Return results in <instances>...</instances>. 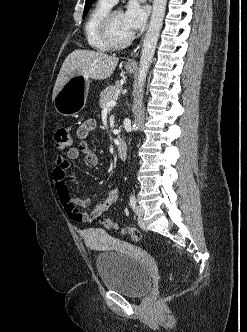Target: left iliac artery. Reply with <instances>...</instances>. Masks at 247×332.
Returning <instances> with one entry per match:
<instances>
[{
  "label": "left iliac artery",
  "instance_id": "44dca946",
  "mask_svg": "<svg viewBox=\"0 0 247 332\" xmlns=\"http://www.w3.org/2000/svg\"><path fill=\"white\" fill-rule=\"evenodd\" d=\"M129 204L132 208H134L136 206V197L134 194H131Z\"/></svg>",
  "mask_w": 247,
  "mask_h": 332
}]
</instances>
